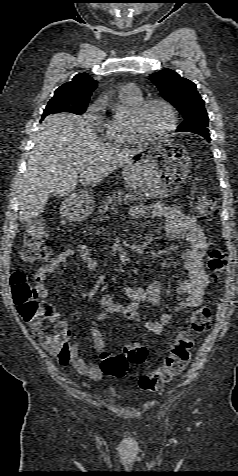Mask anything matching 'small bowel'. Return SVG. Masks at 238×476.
<instances>
[{"label":"small bowel","instance_id":"small-bowel-1","mask_svg":"<svg viewBox=\"0 0 238 476\" xmlns=\"http://www.w3.org/2000/svg\"><path fill=\"white\" fill-rule=\"evenodd\" d=\"M130 216L133 219H143L146 217L164 219L166 234L172 239L183 237L185 244V248L181 253V259L187 273V279L178 288V293L184 298L170 311L162 314L157 321H145L143 323L147 331L160 335L172 322L177 313L185 309L201 306L204 293L210 284L209 276L204 266V257L208 250V243L197 220L176 208L164 204H154L150 207L136 206L131 209ZM70 258L82 261L84 267L89 271H93L97 267V263L91 256L86 244L82 243L77 247L64 249L37 270L35 274V288L39 298L46 299L48 297L47 278ZM124 292L130 300L127 304L115 301L109 294H104L99 298V305L102 311L97 315L90 329L94 347L98 352H103L105 349V341L99 330V324L109 315L120 314L129 320L139 322V308L141 304L150 303L158 305L161 301V286L158 283H152L145 288L127 285L124 288ZM57 357L61 364H70L80 374L87 375L94 380L100 379L103 375L101 366L88 364L80 356V345L78 343L69 345L65 355H57Z\"/></svg>","mask_w":238,"mask_h":476}]
</instances>
